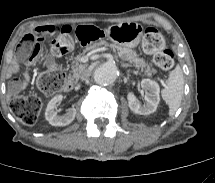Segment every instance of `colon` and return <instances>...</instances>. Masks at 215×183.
Returning <instances> with one entry per match:
<instances>
[{
    "label": "colon",
    "instance_id": "5ec220e1",
    "mask_svg": "<svg viewBox=\"0 0 215 183\" xmlns=\"http://www.w3.org/2000/svg\"><path fill=\"white\" fill-rule=\"evenodd\" d=\"M142 47L148 54L154 55V62L161 70H170L174 65V55L171 50L165 48L163 35L153 27L144 30ZM73 48L71 29H62L55 34L52 44L54 55H66ZM40 50V40L37 39L26 48L24 54ZM65 75L60 70H51L41 74L37 80L38 87L44 94L58 92L64 85ZM10 107L16 118L26 126L34 125L39 117L41 103L35 95H20L11 100Z\"/></svg>",
    "mask_w": 215,
    "mask_h": 183
}]
</instances>
